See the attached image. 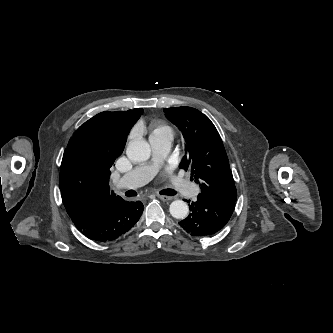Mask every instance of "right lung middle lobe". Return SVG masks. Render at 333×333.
Instances as JSON below:
<instances>
[{
    "label": "right lung middle lobe",
    "mask_w": 333,
    "mask_h": 333,
    "mask_svg": "<svg viewBox=\"0 0 333 333\" xmlns=\"http://www.w3.org/2000/svg\"><path fill=\"white\" fill-rule=\"evenodd\" d=\"M112 125L111 120L107 117L95 120L90 129L93 140L106 142L111 135Z\"/></svg>",
    "instance_id": "1"
}]
</instances>
